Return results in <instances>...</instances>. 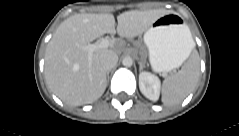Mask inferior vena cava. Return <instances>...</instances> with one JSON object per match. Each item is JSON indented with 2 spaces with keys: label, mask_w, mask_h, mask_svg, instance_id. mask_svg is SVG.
<instances>
[{
  "label": "inferior vena cava",
  "mask_w": 239,
  "mask_h": 136,
  "mask_svg": "<svg viewBox=\"0 0 239 136\" xmlns=\"http://www.w3.org/2000/svg\"><path fill=\"white\" fill-rule=\"evenodd\" d=\"M100 62L105 70H111L118 62V55L114 52L101 56Z\"/></svg>",
  "instance_id": "obj_1"
}]
</instances>
